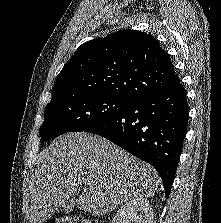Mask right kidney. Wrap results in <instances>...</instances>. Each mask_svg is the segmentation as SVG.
I'll return each mask as SVG.
<instances>
[{
    "label": "right kidney",
    "instance_id": "1",
    "mask_svg": "<svg viewBox=\"0 0 221 223\" xmlns=\"http://www.w3.org/2000/svg\"><path fill=\"white\" fill-rule=\"evenodd\" d=\"M137 212H141L140 215ZM153 209L143 197L126 202L116 213L112 223H153Z\"/></svg>",
    "mask_w": 221,
    "mask_h": 223
}]
</instances>
